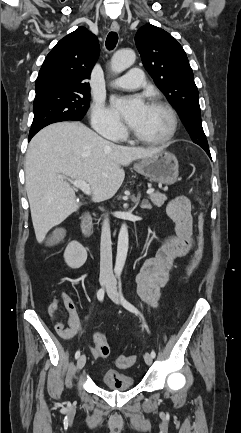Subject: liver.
Listing matches in <instances>:
<instances>
[{"mask_svg":"<svg viewBox=\"0 0 241 433\" xmlns=\"http://www.w3.org/2000/svg\"><path fill=\"white\" fill-rule=\"evenodd\" d=\"M161 150L116 145L79 122L55 123L39 131L29 144L25 161L26 191L37 241L42 243L51 228L80 207L64 177L88 182L92 200L104 201L122 185V166Z\"/></svg>","mask_w":241,"mask_h":433,"instance_id":"obj_1","label":"liver"}]
</instances>
